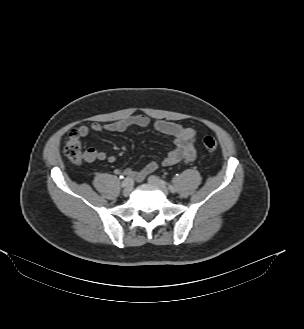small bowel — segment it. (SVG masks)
I'll return each mask as SVG.
<instances>
[{"mask_svg":"<svg viewBox=\"0 0 304 329\" xmlns=\"http://www.w3.org/2000/svg\"><path fill=\"white\" fill-rule=\"evenodd\" d=\"M152 125L154 129L160 133L168 135L174 139V147L163 160V165L169 166L180 162H191L196 157L195 143V130L190 127H183L177 123L157 120L152 122L151 119L145 115H132L110 123L94 122L90 126L81 125L77 128L81 137L87 136L90 131L93 132H123L132 126L148 127ZM86 162L94 161H108L115 162L116 157L109 155L105 152L96 150L95 148H88L83 155ZM158 168V163L155 161L149 162L144 168L139 171L132 170H116L118 175H126L137 181L144 180L149 174Z\"/></svg>","mask_w":304,"mask_h":329,"instance_id":"1","label":"small bowel"}]
</instances>
